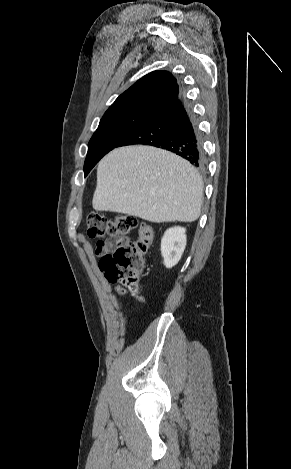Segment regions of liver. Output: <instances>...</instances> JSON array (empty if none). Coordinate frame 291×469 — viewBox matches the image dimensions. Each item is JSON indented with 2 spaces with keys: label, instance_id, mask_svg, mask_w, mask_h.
I'll list each match as a JSON object with an SVG mask.
<instances>
[{
  "label": "liver",
  "instance_id": "obj_1",
  "mask_svg": "<svg viewBox=\"0 0 291 469\" xmlns=\"http://www.w3.org/2000/svg\"><path fill=\"white\" fill-rule=\"evenodd\" d=\"M203 181L185 159L151 146L112 150L98 164L92 205L150 222H193L201 214Z\"/></svg>",
  "mask_w": 291,
  "mask_h": 469
}]
</instances>
